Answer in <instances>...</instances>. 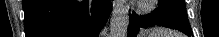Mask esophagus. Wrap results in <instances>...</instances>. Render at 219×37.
I'll list each match as a JSON object with an SVG mask.
<instances>
[{"instance_id": "obj_1", "label": "esophagus", "mask_w": 219, "mask_h": 37, "mask_svg": "<svg viewBox=\"0 0 219 37\" xmlns=\"http://www.w3.org/2000/svg\"><path fill=\"white\" fill-rule=\"evenodd\" d=\"M118 2H119V0H112L113 7H115Z\"/></svg>"}]
</instances>
